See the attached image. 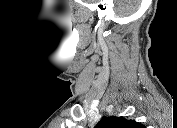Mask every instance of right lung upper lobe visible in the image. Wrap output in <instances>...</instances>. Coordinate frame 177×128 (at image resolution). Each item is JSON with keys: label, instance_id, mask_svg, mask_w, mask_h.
<instances>
[{"label": "right lung upper lobe", "instance_id": "obj_1", "mask_svg": "<svg viewBox=\"0 0 177 128\" xmlns=\"http://www.w3.org/2000/svg\"><path fill=\"white\" fill-rule=\"evenodd\" d=\"M99 128H143L144 126L135 120L121 117H105L97 125Z\"/></svg>", "mask_w": 177, "mask_h": 128}]
</instances>
